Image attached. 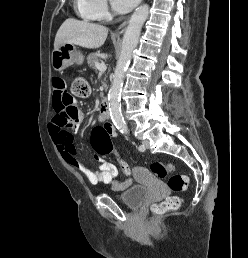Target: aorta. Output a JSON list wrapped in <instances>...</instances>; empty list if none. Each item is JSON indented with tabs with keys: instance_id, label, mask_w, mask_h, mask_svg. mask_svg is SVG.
I'll return each instance as SVG.
<instances>
[{
	"instance_id": "aorta-1",
	"label": "aorta",
	"mask_w": 248,
	"mask_h": 258,
	"mask_svg": "<svg viewBox=\"0 0 248 258\" xmlns=\"http://www.w3.org/2000/svg\"><path fill=\"white\" fill-rule=\"evenodd\" d=\"M149 15V6L142 5L136 9L125 30L122 49L113 75L108 94L109 111L114 125L121 132H127V126L121 113V90L125 72L130 64L132 53L136 48L142 26Z\"/></svg>"
}]
</instances>
